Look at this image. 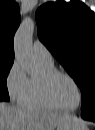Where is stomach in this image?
I'll list each match as a JSON object with an SVG mask.
<instances>
[{
  "label": "stomach",
  "instance_id": "stomach-1",
  "mask_svg": "<svg viewBox=\"0 0 95 130\" xmlns=\"http://www.w3.org/2000/svg\"><path fill=\"white\" fill-rule=\"evenodd\" d=\"M56 130H88V128L77 118H71L59 123Z\"/></svg>",
  "mask_w": 95,
  "mask_h": 130
}]
</instances>
